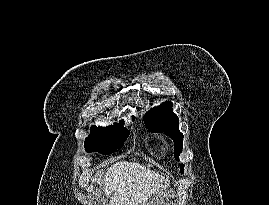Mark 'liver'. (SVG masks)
I'll return each mask as SVG.
<instances>
[{"label": "liver", "mask_w": 269, "mask_h": 205, "mask_svg": "<svg viewBox=\"0 0 269 205\" xmlns=\"http://www.w3.org/2000/svg\"><path fill=\"white\" fill-rule=\"evenodd\" d=\"M110 205H146L152 194H160L169 187V180L139 162L119 161L107 168L103 175Z\"/></svg>", "instance_id": "obj_1"}]
</instances>
